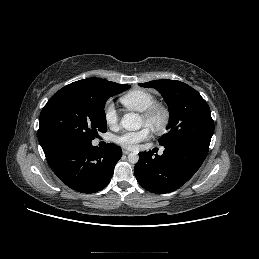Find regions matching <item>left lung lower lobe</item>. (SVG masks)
<instances>
[{"label":"left lung lower lobe","mask_w":259,"mask_h":259,"mask_svg":"<svg viewBox=\"0 0 259 259\" xmlns=\"http://www.w3.org/2000/svg\"><path fill=\"white\" fill-rule=\"evenodd\" d=\"M161 156L139 153L134 167L138 183L147 191L163 194L185 184L204 162L209 147L195 142H176L164 145Z\"/></svg>","instance_id":"0a47b994"}]
</instances>
